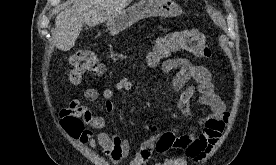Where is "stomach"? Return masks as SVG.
Wrapping results in <instances>:
<instances>
[{
	"mask_svg": "<svg viewBox=\"0 0 276 165\" xmlns=\"http://www.w3.org/2000/svg\"><path fill=\"white\" fill-rule=\"evenodd\" d=\"M182 13L173 0H140L107 22L110 34L115 35L134 23L149 17H176Z\"/></svg>",
	"mask_w": 276,
	"mask_h": 165,
	"instance_id": "stomach-1",
	"label": "stomach"
}]
</instances>
